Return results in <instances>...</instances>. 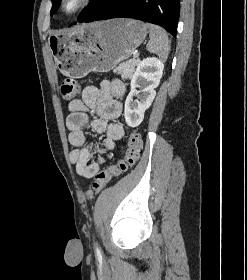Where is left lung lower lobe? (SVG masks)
<instances>
[{
	"label": "left lung lower lobe",
	"mask_w": 247,
	"mask_h": 280,
	"mask_svg": "<svg viewBox=\"0 0 247 280\" xmlns=\"http://www.w3.org/2000/svg\"><path fill=\"white\" fill-rule=\"evenodd\" d=\"M179 11L180 0H108L78 22L134 18L160 25L176 37Z\"/></svg>",
	"instance_id": "1"
}]
</instances>
